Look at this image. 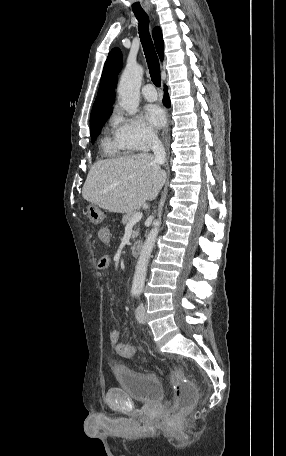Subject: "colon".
Instances as JSON below:
<instances>
[{
    "instance_id": "5ec220e1",
    "label": "colon",
    "mask_w": 286,
    "mask_h": 456,
    "mask_svg": "<svg viewBox=\"0 0 286 456\" xmlns=\"http://www.w3.org/2000/svg\"><path fill=\"white\" fill-rule=\"evenodd\" d=\"M121 353L125 357H134L137 354V349L130 345H124L121 347ZM170 383L175 390V405L171 410V413L176 414L184 410H190L196 402V386L193 383L186 381L182 373L178 370L171 373Z\"/></svg>"
}]
</instances>
